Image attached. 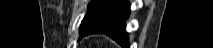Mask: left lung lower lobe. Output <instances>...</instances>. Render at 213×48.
<instances>
[{"label":"left lung lower lobe","instance_id":"0a47b994","mask_svg":"<svg viewBox=\"0 0 213 48\" xmlns=\"http://www.w3.org/2000/svg\"><path fill=\"white\" fill-rule=\"evenodd\" d=\"M130 14V5L127 0H117L110 7L97 13L82 30L81 37L104 33L115 40L122 48H129L125 33V20Z\"/></svg>","mask_w":213,"mask_h":48}]
</instances>
